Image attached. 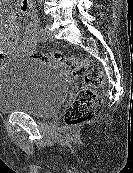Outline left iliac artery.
I'll return each mask as SVG.
<instances>
[{"label": "left iliac artery", "instance_id": "obj_1", "mask_svg": "<svg viewBox=\"0 0 133 173\" xmlns=\"http://www.w3.org/2000/svg\"><path fill=\"white\" fill-rule=\"evenodd\" d=\"M37 34H38V38L43 41L44 37H43V29L42 28L38 29Z\"/></svg>", "mask_w": 133, "mask_h": 173}]
</instances>
